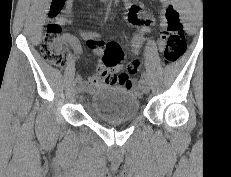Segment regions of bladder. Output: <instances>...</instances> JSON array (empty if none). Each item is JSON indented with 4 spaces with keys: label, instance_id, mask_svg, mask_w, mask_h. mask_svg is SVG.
<instances>
[{
    "label": "bladder",
    "instance_id": "1",
    "mask_svg": "<svg viewBox=\"0 0 231 177\" xmlns=\"http://www.w3.org/2000/svg\"><path fill=\"white\" fill-rule=\"evenodd\" d=\"M91 110L96 117L107 122L131 120L138 115L139 100L123 87L105 85L92 95Z\"/></svg>",
    "mask_w": 231,
    "mask_h": 177
}]
</instances>
